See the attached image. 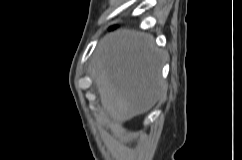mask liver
<instances>
[{
    "label": "liver",
    "mask_w": 242,
    "mask_h": 160,
    "mask_svg": "<svg viewBox=\"0 0 242 160\" xmlns=\"http://www.w3.org/2000/svg\"><path fill=\"white\" fill-rule=\"evenodd\" d=\"M153 37L129 30L106 35L95 52L94 80L103 109L117 121H127L150 110L163 83L161 53Z\"/></svg>",
    "instance_id": "obj_1"
}]
</instances>
